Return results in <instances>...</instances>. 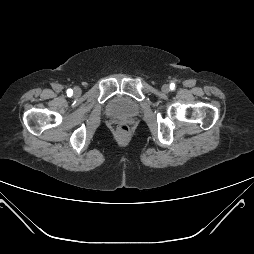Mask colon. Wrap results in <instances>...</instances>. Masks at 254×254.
Segmentation results:
<instances>
[{
    "label": "colon",
    "instance_id": "colon-1",
    "mask_svg": "<svg viewBox=\"0 0 254 254\" xmlns=\"http://www.w3.org/2000/svg\"><path fill=\"white\" fill-rule=\"evenodd\" d=\"M118 130L121 133H127L128 132V126L125 124H121L118 126Z\"/></svg>",
    "mask_w": 254,
    "mask_h": 254
}]
</instances>
